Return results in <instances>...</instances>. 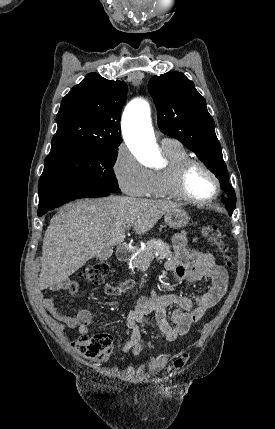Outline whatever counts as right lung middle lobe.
<instances>
[{
  "label": "right lung middle lobe",
  "mask_w": 275,
  "mask_h": 429,
  "mask_svg": "<svg viewBox=\"0 0 275 429\" xmlns=\"http://www.w3.org/2000/svg\"><path fill=\"white\" fill-rule=\"evenodd\" d=\"M117 147L63 148L50 151L39 179V198L71 190L119 193L113 166Z\"/></svg>",
  "instance_id": "dd1d6c3e"
}]
</instances>
